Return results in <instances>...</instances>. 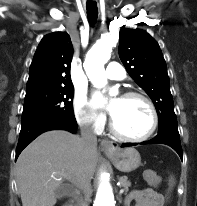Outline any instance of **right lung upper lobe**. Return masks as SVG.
<instances>
[{
    "instance_id": "cb5924a9",
    "label": "right lung upper lobe",
    "mask_w": 197,
    "mask_h": 206,
    "mask_svg": "<svg viewBox=\"0 0 197 206\" xmlns=\"http://www.w3.org/2000/svg\"><path fill=\"white\" fill-rule=\"evenodd\" d=\"M72 57L73 46L67 33L55 32L44 36L31 63L26 89L72 85Z\"/></svg>"
}]
</instances>
